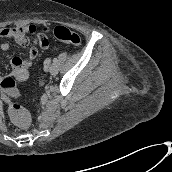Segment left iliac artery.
<instances>
[{"label": "left iliac artery", "mask_w": 172, "mask_h": 172, "mask_svg": "<svg viewBox=\"0 0 172 172\" xmlns=\"http://www.w3.org/2000/svg\"><path fill=\"white\" fill-rule=\"evenodd\" d=\"M53 62L56 63V62H57V58H54V59H53Z\"/></svg>", "instance_id": "1"}]
</instances>
